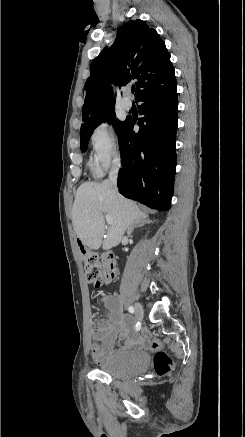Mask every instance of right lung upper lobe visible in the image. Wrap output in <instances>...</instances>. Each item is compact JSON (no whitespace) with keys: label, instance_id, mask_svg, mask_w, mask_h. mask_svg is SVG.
<instances>
[{"label":"right lung upper lobe","instance_id":"obj_1","mask_svg":"<svg viewBox=\"0 0 245 437\" xmlns=\"http://www.w3.org/2000/svg\"><path fill=\"white\" fill-rule=\"evenodd\" d=\"M135 79V100L176 83L165 43L143 20L121 26L112 46L103 49L92 61L85 84L82 126L114 108L111 83L124 86Z\"/></svg>","mask_w":245,"mask_h":437}]
</instances>
